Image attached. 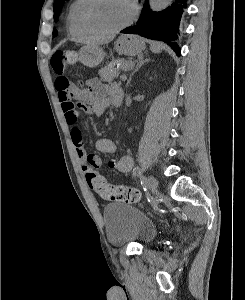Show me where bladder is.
Returning <instances> with one entry per match:
<instances>
[{
  "mask_svg": "<svg viewBox=\"0 0 245 300\" xmlns=\"http://www.w3.org/2000/svg\"><path fill=\"white\" fill-rule=\"evenodd\" d=\"M108 242L113 246L147 244L156 235L155 224L139 209L124 203L108 204L103 212Z\"/></svg>",
  "mask_w": 245,
  "mask_h": 300,
  "instance_id": "1",
  "label": "bladder"
}]
</instances>
